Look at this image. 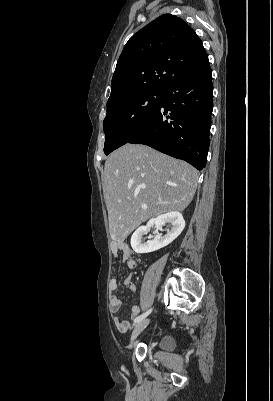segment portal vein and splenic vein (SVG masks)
Wrapping results in <instances>:
<instances>
[{"instance_id": "1", "label": "portal vein and splenic vein", "mask_w": 273, "mask_h": 401, "mask_svg": "<svg viewBox=\"0 0 273 401\" xmlns=\"http://www.w3.org/2000/svg\"><path fill=\"white\" fill-rule=\"evenodd\" d=\"M168 184H174V182H168ZM142 209H147V205H141Z\"/></svg>"}]
</instances>
